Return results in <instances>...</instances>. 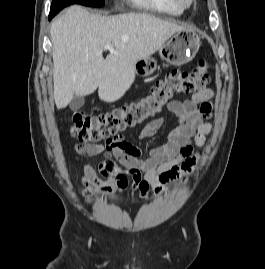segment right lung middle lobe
Instances as JSON below:
<instances>
[{"instance_id":"obj_1","label":"right lung middle lobe","mask_w":265,"mask_h":269,"mask_svg":"<svg viewBox=\"0 0 265 269\" xmlns=\"http://www.w3.org/2000/svg\"><path fill=\"white\" fill-rule=\"evenodd\" d=\"M71 4H81L89 7H102L105 4V0H53L51 9H63Z\"/></svg>"}]
</instances>
